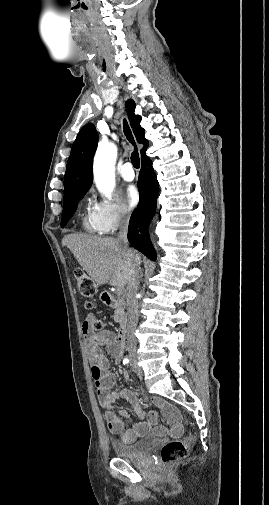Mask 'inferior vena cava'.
<instances>
[{
  "instance_id": "inferior-vena-cava-1",
  "label": "inferior vena cava",
  "mask_w": 269,
  "mask_h": 505,
  "mask_svg": "<svg viewBox=\"0 0 269 505\" xmlns=\"http://www.w3.org/2000/svg\"><path fill=\"white\" fill-rule=\"evenodd\" d=\"M128 217L122 216L119 222V233L117 240L120 242L122 247L129 251L128 247ZM140 262L133 258L131 278L127 284V350L129 352L136 350L137 340L135 337V330L138 323V300L136 298L138 291V278L140 275Z\"/></svg>"
}]
</instances>
